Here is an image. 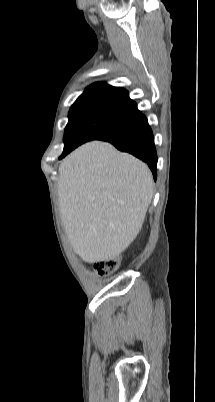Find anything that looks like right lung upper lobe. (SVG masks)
<instances>
[{
	"mask_svg": "<svg viewBox=\"0 0 215 402\" xmlns=\"http://www.w3.org/2000/svg\"><path fill=\"white\" fill-rule=\"evenodd\" d=\"M107 95L124 101L135 103L129 98L127 90L113 87L104 82H97L86 88L81 96Z\"/></svg>",
	"mask_w": 215,
	"mask_h": 402,
	"instance_id": "obj_1",
	"label": "right lung upper lobe"
}]
</instances>
